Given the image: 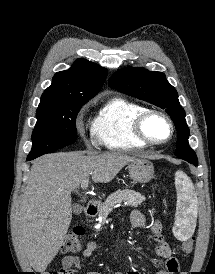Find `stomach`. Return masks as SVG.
<instances>
[{
    "mask_svg": "<svg viewBox=\"0 0 215 274\" xmlns=\"http://www.w3.org/2000/svg\"><path fill=\"white\" fill-rule=\"evenodd\" d=\"M128 171L136 183H147L154 176V166L147 159L134 158L128 165Z\"/></svg>",
    "mask_w": 215,
    "mask_h": 274,
    "instance_id": "0dacf381",
    "label": "stomach"
}]
</instances>
